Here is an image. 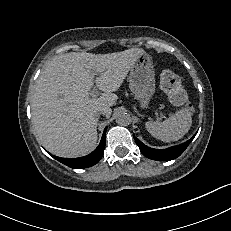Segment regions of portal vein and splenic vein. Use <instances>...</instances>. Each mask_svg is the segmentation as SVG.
I'll list each match as a JSON object with an SVG mask.
<instances>
[{
  "mask_svg": "<svg viewBox=\"0 0 231 231\" xmlns=\"http://www.w3.org/2000/svg\"><path fill=\"white\" fill-rule=\"evenodd\" d=\"M92 75H96V73H92ZM99 95V91L97 89H93L90 93V96L95 98ZM163 118V116L161 115V117L159 118V120H161Z\"/></svg>",
  "mask_w": 231,
  "mask_h": 231,
  "instance_id": "obj_1",
  "label": "portal vein and splenic vein"
}]
</instances>
